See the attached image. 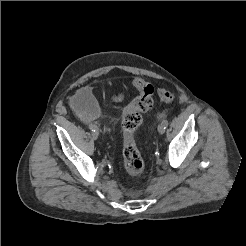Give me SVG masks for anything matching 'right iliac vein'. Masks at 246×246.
Returning a JSON list of instances; mask_svg holds the SVG:
<instances>
[{
    "label": "right iliac vein",
    "mask_w": 246,
    "mask_h": 246,
    "mask_svg": "<svg viewBox=\"0 0 246 246\" xmlns=\"http://www.w3.org/2000/svg\"><path fill=\"white\" fill-rule=\"evenodd\" d=\"M98 136H99V132L96 130L92 133V137L96 140L98 139Z\"/></svg>",
    "instance_id": "obj_1"
}]
</instances>
